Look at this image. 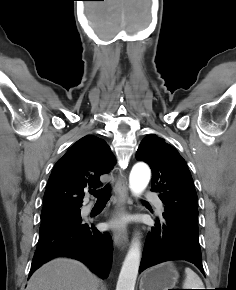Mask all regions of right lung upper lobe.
Here are the masks:
<instances>
[{
  "mask_svg": "<svg viewBox=\"0 0 236 290\" xmlns=\"http://www.w3.org/2000/svg\"><path fill=\"white\" fill-rule=\"evenodd\" d=\"M113 154L103 139L87 135L55 164L44 194L42 214L80 210L84 189L97 188L99 177L113 167Z\"/></svg>",
  "mask_w": 236,
  "mask_h": 290,
  "instance_id": "obj_1",
  "label": "right lung upper lobe"
}]
</instances>
